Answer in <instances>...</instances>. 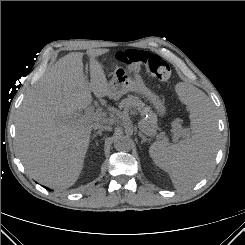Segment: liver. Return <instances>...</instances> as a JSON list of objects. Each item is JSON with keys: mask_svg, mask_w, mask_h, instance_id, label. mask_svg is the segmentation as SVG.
<instances>
[{"mask_svg": "<svg viewBox=\"0 0 245 245\" xmlns=\"http://www.w3.org/2000/svg\"><path fill=\"white\" fill-rule=\"evenodd\" d=\"M109 49H91V81L83 73V53L73 52L49 67L24 98L16 120V147L27 173L37 182L67 189L77 181L89 146L90 135L99 120L81 111L92 102L93 92L103 105L112 91L96 57Z\"/></svg>", "mask_w": 245, "mask_h": 245, "instance_id": "1", "label": "liver"}]
</instances>
